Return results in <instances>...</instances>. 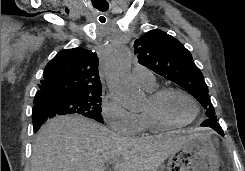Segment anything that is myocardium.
<instances>
[{"mask_svg": "<svg viewBox=\"0 0 245 171\" xmlns=\"http://www.w3.org/2000/svg\"><path fill=\"white\" fill-rule=\"evenodd\" d=\"M170 92H178L185 97H187L191 103L194 106V115L193 117L188 120L187 122L184 123H173L169 120H167L164 115L162 114L161 111V102L163 97L170 93ZM146 113L149 115L151 120L160 128L162 129H180L187 127L191 125L195 120L198 118L199 113H200V107L197 102V100L194 98L193 95H191L189 92L186 90L176 87V86H165L159 89H156L153 91L150 96H149V106L145 110Z\"/></svg>", "mask_w": 245, "mask_h": 171, "instance_id": "myocardium-1", "label": "myocardium"}]
</instances>
